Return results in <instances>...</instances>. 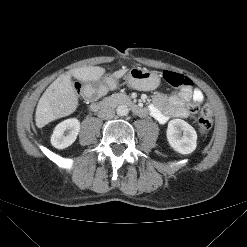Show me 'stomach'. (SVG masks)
I'll list each match as a JSON object with an SVG mask.
<instances>
[{
	"instance_id": "1",
	"label": "stomach",
	"mask_w": 247,
	"mask_h": 247,
	"mask_svg": "<svg viewBox=\"0 0 247 247\" xmlns=\"http://www.w3.org/2000/svg\"><path fill=\"white\" fill-rule=\"evenodd\" d=\"M127 83L134 89L149 91L159 86L160 78L156 72L143 68H132L126 75Z\"/></svg>"
}]
</instances>
